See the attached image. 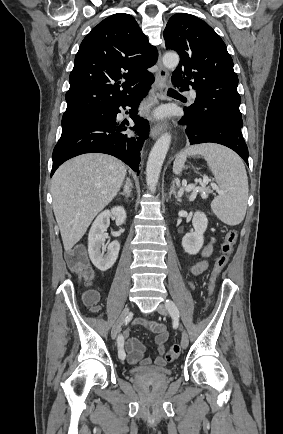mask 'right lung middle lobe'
<instances>
[{"label": "right lung middle lobe", "instance_id": "1", "mask_svg": "<svg viewBox=\"0 0 283 434\" xmlns=\"http://www.w3.org/2000/svg\"><path fill=\"white\" fill-rule=\"evenodd\" d=\"M75 121H77V120H62V128L72 124Z\"/></svg>", "mask_w": 283, "mask_h": 434}]
</instances>
